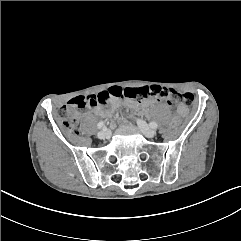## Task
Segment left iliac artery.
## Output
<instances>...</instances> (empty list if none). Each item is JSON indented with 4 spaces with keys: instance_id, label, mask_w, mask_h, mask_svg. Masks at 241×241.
<instances>
[{
    "instance_id": "obj_1",
    "label": "left iliac artery",
    "mask_w": 241,
    "mask_h": 241,
    "mask_svg": "<svg viewBox=\"0 0 241 241\" xmlns=\"http://www.w3.org/2000/svg\"><path fill=\"white\" fill-rule=\"evenodd\" d=\"M150 127L153 129H157L158 128V124L154 121L150 122Z\"/></svg>"
}]
</instances>
